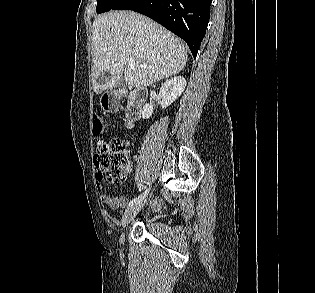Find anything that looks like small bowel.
<instances>
[{"instance_id":"c3829d8e","label":"small bowel","mask_w":315,"mask_h":293,"mask_svg":"<svg viewBox=\"0 0 315 293\" xmlns=\"http://www.w3.org/2000/svg\"><path fill=\"white\" fill-rule=\"evenodd\" d=\"M130 170V166H129ZM96 187L99 191H102V184L100 181L96 182ZM100 200L102 203L108 205L112 209L123 208L127 203V197L125 195L113 197L106 193H101Z\"/></svg>"}]
</instances>
